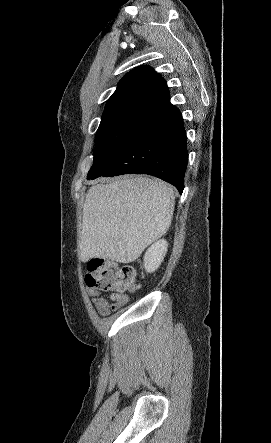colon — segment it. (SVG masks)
I'll use <instances>...</instances> for the list:
<instances>
[{
    "instance_id": "5ec220e1",
    "label": "colon",
    "mask_w": 271,
    "mask_h": 443,
    "mask_svg": "<svg viewBox=\"0 0 271 443\" xmlns=\"http://www.w3.org/2000/svg\"><path fill=\"white\" fill-rule=\"evenodd\" d=\"M85 280L89 288L117 296H125L136 288L134 269L113 261L92 262Z\"/></svg>"
}]
</instances>
